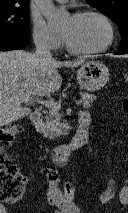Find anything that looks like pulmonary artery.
<instances>
[{"mask_svg":"<svg viewBox=\"0 0 128 213\" xmlns=\"http://www.w3.org/2000/svg\"><path fill=\"white\" fill-rule=\"evenodd\" d=\"M56 1H58V2H62V3L67 2V0H56Z\"/></svg>","mask_w":128,"mask_h":213,"instance_id":"obj_1","label":"pulmonary artery"}]
</instances>
